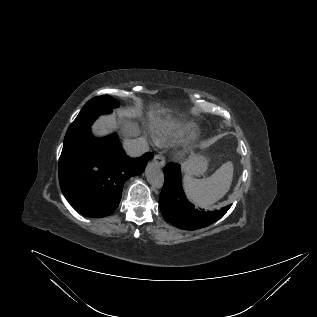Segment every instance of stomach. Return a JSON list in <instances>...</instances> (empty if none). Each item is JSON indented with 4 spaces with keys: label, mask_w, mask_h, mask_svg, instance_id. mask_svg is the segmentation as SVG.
Here are the masks:
<instances>
[{
    "label": "stomach",
    "mask_w": 317,
    "mask_h": 317,
    "mask_svg": "<svg viewBox=\"0 0 317 317\" xmlns=\"http://www.w3.org/2000/svg\"><path fill=\"white\" fill-rule=\"evenodd\" d=\"M182 168L188 175L200 176L208 168V159L204 156L193 154L182 163Z\"/></svg>",
    "instance_id": "stomach-1"
}]
</instances>
